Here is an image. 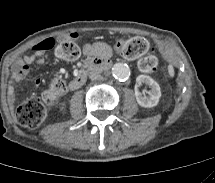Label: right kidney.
Instances as JSON below:
<instances>
[{
    "instance_id": "ca27d5eb",
    "label": "right kidney",
    "mask_w": 215,
    "mask_h": 183,
    "mask_svg": "<svg viewBox=\"0 0 215 183\" xmlns=\"http://www.w3.org/2000/svg\"><path fill=\"white\" fill-rule=\"evenodd\" d=\"M64 110V106H60V111H63Z\"/></svg>"
}]
</instances>
